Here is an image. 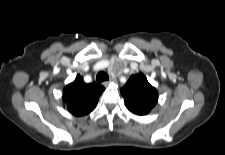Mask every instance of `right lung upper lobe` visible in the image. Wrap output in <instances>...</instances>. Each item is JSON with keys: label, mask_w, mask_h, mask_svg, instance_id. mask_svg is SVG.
Wrapping results in <instances>:
<instances>
[{"label": "right lung upper lobe", "mask_w": 225, "mask_h": 155, "mask_svg": "<svg viewBox=\"0 0 225 155\" xmlns=\"http://www.w3.org/2000/svg\"><path fill=\"white\" fill-rule=\"evenodd\" d=\"M104 87L95 82L86 84L80 75L68 84L63 92V101L70 113L74 116L89 114L97 105Z\"/></svg>", "instance_id": "cb5924a9"}]
</instances>
